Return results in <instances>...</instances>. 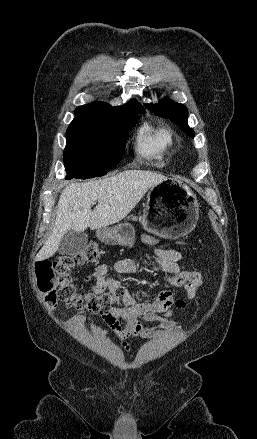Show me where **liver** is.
I'll return each mask as SVG.
<instances>
[{"label": "liver", "mask_w": 257, "mask_h": 439, "mask_svg": "<svg viewBox=\"0 0 257 439\" xmlns=\"http://www.w3.org/2000/svg\"><path fill=\"white\" fill-rule=\"evenodd\" d=\"M165 179L152 171L126 170L97 181L69 184L59 197L52 234L36 260L52 257L70 230L100 229L124 219L151 187ZM95 201L98 204L91 210Z\"/></svg>", "instance_id": "obj_1"}]
</instances>
